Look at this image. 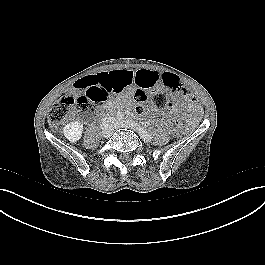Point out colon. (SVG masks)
Here are the masks:
<instances>
[{
  "label": "colon",
  "mask_w": 265,
  "mask_h": 265,
  "mask_svg": "<svg viewBox=\"0 0 265 265\" xmlns=\"http://www.w3.org/2000/svg\"><path fill=\"white\" fill-rule=\"evenodd\" d=\"M159 83L169 92L156 90L151 94V102L156 108L162 109L169 102H177L178 97H182L184 99L183 106L187 112L195 114L201 110V99L195 95L189 96L190 93L172 73H161ZM116 91L107 77H84L74 83L71 94L63 96L52 106L49 111V120L53 124H59L75 112H93L96 104L105 101L112 92ZM148 99L149 95L144 89L141 88L135 91V110L138 114L144 112Z\"/></svg>",
  "instance_id": "1"
}]
</instances>
